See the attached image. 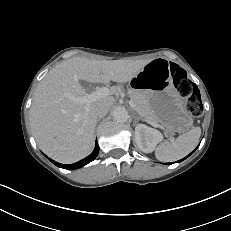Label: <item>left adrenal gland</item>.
Returning a JSON list of instances; mask_svg holds the SVG:
<instances>
[{
    "label": "left adrenal gland",
    "instance_id": "left-adrenal-gland-1",
    "mask_svg": "<svg viewBox=\"0 0 231 231\" xmlns=\"http://www.w3.org/2000/svg\"><path fill=\"white\" fill-rule=\"evenodd\" d=\"M134 120H135L134 122H136L138 120H143V119L135 113Z\"/></svg>",
    "mask_w": 231,
    "mask_h": 231
}]
</instances>
